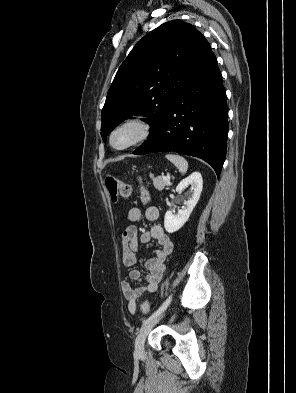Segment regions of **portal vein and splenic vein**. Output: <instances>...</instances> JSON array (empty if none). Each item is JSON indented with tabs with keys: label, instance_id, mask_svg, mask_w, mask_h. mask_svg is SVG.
Wrapping results in <instances>:
<instances>
[{
	"label": "portal vein and splenic vein",
	"instance_id": "1",
	"mask_svg": "<svg viewBox=\"0 0 296 393\" xmlns=\"http://www.w3.org/2000/svg\"><path fill=\"white\" fill-rule=\"evenodd\" d=\"M163 179H164L165 181H170V177H168V176H164Z\"/></svg>",
	"mask_w": 296,
	"mask_h": 393
}]
</instances>
